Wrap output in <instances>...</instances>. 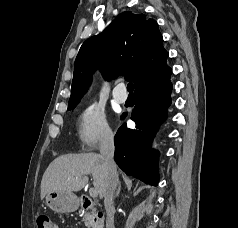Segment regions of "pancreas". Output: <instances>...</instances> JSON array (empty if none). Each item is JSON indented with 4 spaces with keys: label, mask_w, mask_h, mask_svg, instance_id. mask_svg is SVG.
Listing matches in <instances>:
<instances>
[{
    "label": "pancreas",
    "mask_w": 238,
    "mask_h": 228,
    "mask_svg": "<svg viewBox=\"0 0 238 228\" xmlns=\"http://www.w3.org/2000/svg\"><path fill=\"white\" fill-rule=\"evenodd\" d=\"M82 210H80L81 212ZM96 210L92 209L91 212H84L83 220L87 228H97V223L94 221Z\"/></svg>",
    "instance_id": "pancreas-1"
}]
</instances>
